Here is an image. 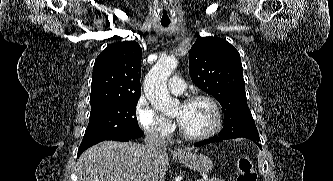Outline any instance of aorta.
<instances>
[{
    "label": "aorta",
    "instance_id": "762f6f07",
    "mask_svg": "<svg viewBox=\"0 0 333 181\" xmlns=\"http://www.w3.org/2000/svg\"><path fill=\"white\" fill-rule=\"evenodd\" d=\"M178 61L174 57L161 58L148 72L144 80V92L149 102L162 113L168 114L178 106L179 101L171 97L167 89V79L176 69Z\"/></svg>",
    "mask_w": 333,
    "mask_h": 181
}]
</instances>
